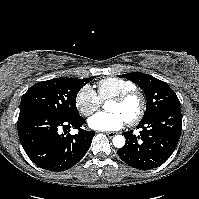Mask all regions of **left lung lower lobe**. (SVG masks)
<instances>
[{
    "mask_svg": "<svg viewBox=\"0 0 199 199\" xmlns=\"http://www.w3.org/2000/svg\"><path fill=\"white\" fill-rule=\"evenodd\" d=\"M140 136L124 132L126 144L118 149L119 157L136 169L150 170L162 165L174 152L182 130L180 107L165 109L141 121Z\"/></svg>",
    "mask_w": 199,
    "mask_h": 199,
    "instance_id": "obj_1",
    "label": "left lung lower lobe"
}]
</instances>
